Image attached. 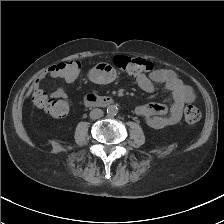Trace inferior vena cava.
Here are the masks:
<instances>
[{"instance_id": "1", "label": "inferior vena cava", "mask_w": 224, "mask_h": 224, "mask_svg": "<svg viewBox=\"0 0 224 224\" xmlns=\"http://www.w3.org/2000/svg\"><path fill=\"white\" fill-rule=\"evenodd\" d=\"M103 111L99 108H95L90 112L91 119H99L103 116Z\"/></svg>"}]
</instances>
